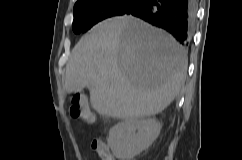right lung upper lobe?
I'll return each mask as SVG.
<instances>
[{
  "instance_id": "obj_1",
  "label": "right lung upper lobe",
  "mask_w": 242,
  "mask_h": 160,
  "mask_svg": "<svg viewBox=\"0 0 242 160\" xmlns=\"http://www.w3.org/2000/svg\"><path fill=\"white\" fill-rule=\"evenodd\" d=\"M80 1H82V0H77V2H76V3L80 2Z\"/></svg>"
}]
</instances>
